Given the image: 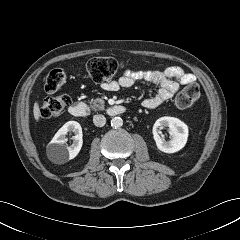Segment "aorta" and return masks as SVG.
I'll use <instances>...</instances> for the list:
<instances>
[{"label":"aorta","mask_w":240,"mask_h":240,"mask_svg":"<svg viewBox=\"0 0 240 240\" xmlns=\"http://www.w3.org/2000/svg\"><path fill=\"white\" fill-rule=\"evenodd\" d=\"M123 125V120L121 117H113L111 120V126L113 128H119Z\"/></svg>","instance_id":"1"}]
</instances>
